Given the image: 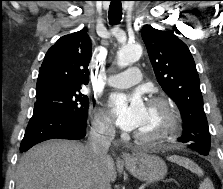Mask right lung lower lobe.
I'll return each instance as SVG.
<instances>
[{"label":"right lung lower lobe","instance_id":"obj_1","mask_svg":"<svg viewBox=\"0 0 223 189\" xmlns=\"http://www.w3.org/2000/svg\"><path fill=\"white\" fill-rule=\"evenodd\" d=\"M86 135V120L79 121L71 116L46 109H34L20 151L25 152L45 140L62 138L78 140Z\"/></svg>","mask_w":223,"mask_h":189}]
</instances>
